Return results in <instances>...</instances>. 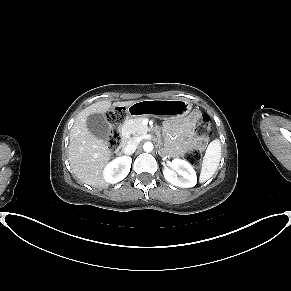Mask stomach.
<instances>
[{"instance_id": "1", "label": "stomach", "mask_w": 291, "mask_h": 291, "mask_svg": "<svg viewBox=\"0 0 291 291\" xmlns=\"http://www.w3.org/2000/svg\"><path fill=\"white\" fill-rule=\"evenodd\" d=\"M192 109L185 100H142L136 101L127 107V117H156V118H183Z\"/></svg>"}]
</instances>
